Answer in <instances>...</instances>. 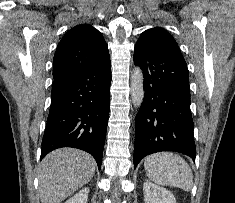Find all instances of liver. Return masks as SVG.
Returning <instances> with one entry per match:
<instances>
[{
    "label": "liver",
    "mask_w": 235,
    "mask_h": 203,
    "mask_svg": "<svg viewBox=\"0 0 235 203\" xmlns=\"http://www.w3.org/2000/svg\"><path fill=\"white\" fill-rule=\"evenodd\" d=\"M94 158L81 150L61 148L49 153L39 168V195L41 203H61L95 173Z\"/></svg>",
    "instance_id": "liver-1"
}]
</instances>
